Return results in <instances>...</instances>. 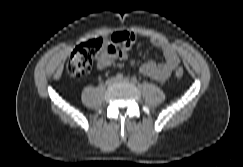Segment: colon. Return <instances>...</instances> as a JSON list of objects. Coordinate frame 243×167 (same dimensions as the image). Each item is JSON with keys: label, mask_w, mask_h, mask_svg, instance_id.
Segmentation results:
<instances>
[{"label": "colon", "mask_w": 243, "mask_h": 167, "mask_svg": "<svg viewBox=\"0 0 243 167\" xmlns=\"http://www.w3.org/2000/svg\"><path fill=\"white\" fill-rule=\"evenodd\" d=\"M104 46L102 38H94L78 45L72 52L67 63V72L71 76L79 77L86 75L91 67L95 56ZM177 78L184 75L182 68H178L175 72Z\"/></svg>", "instance_id": "1"}]
</instances>
